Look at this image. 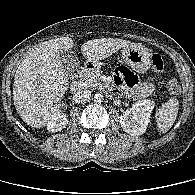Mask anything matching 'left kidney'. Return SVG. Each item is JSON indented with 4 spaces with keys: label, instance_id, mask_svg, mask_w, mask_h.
<instances>
[{
    "label": "left kidney",
    "instance_id": "5707ae66",
    "mask_svg": "<svg viewBox=\"0 0 195 195\" xmlns=\"http://www.w3.org/2000/svg\"><path fill=\"white\" fill-rule=\"evenodd\" d=\"M154 106V102L148 99L139 100L133 104L120 116V125L123 130L132 136L145 133Z\"/></svg>",
    "mask_w": 195,
    "mask_h": 195
}]
</instances>
